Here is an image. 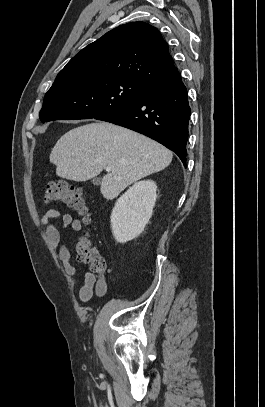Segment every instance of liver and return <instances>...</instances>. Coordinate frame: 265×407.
<instances>
[{
	"instance_id": "obj_1",
	"label": "liver",
	"mask_w": 265,
	"mask_h": 407,
	"mask_svg": "<svg viewBox=\"0 0 265 407\" xmlns=\"http://www.w3.org/2000/svg\"><path fill=\"white\" fill-rule=\"evenodd\" d=\"M173 154L160 143L130 129L108 122L71 129L55 144L50 162L58 177L83 182L107 166L111 171L101 182V194L116 198L126 187L165 169Z\"/></svg>"
}]
</instances>
